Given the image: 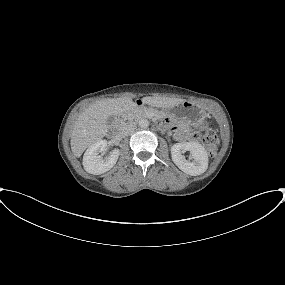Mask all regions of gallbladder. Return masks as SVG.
Returning a JSON list of instances; mask_svg holds the SVG:
<instances>
[{"label": "gallbladder", "mask_w": 285, "mask_h": 285, "mask_svg": "<svg viewBox=\"0 0 285 285\" xmlns=\"http://www.w3.org/2000/svg\"><path fill=\"white\" fill-rule=\"evenodd\" d=\"M114 117L113 116H110V117H108V119H107V124H109V125H111V124H113L114 123Z\"/></svg>", "instance_id": "1"}]
</instances>
